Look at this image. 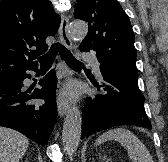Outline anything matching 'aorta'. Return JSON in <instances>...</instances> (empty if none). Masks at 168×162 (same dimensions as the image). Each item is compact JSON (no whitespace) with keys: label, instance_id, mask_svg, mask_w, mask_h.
Segmentation results:
<instances>
[{"label":"aorta","instance_id":"aorta-1","mask_svg":"<svg viewBox=\"0 0 168 162\" xmlns=\"http://www.w3.org/2000/svg\"><path fill=\"white\" fill-rule=\"evenodd\" d=\"M69 32L73 39L82 40L88 32V26L83 21H73L70 24ZM81 125V112L76 106H73L66 114L62 131L64 152L69 157H71L78 148L81 138Z\"/></svg>","mask_w":168,"mask_h":162}]
</instances>
